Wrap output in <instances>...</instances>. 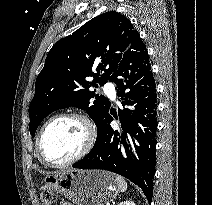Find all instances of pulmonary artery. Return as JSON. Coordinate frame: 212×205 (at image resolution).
I'll return each instance as SVG.
<instances>
[{
  "instance_id": "1",
  "label": "pulmonary artery",
  "mask_w": 212,
  "mask_h": 205,
  "mask_svg": "<svg viewBox=\"0 0 212 205\" xmlns=\"http://www.w3.org/2000/svg\"><path fill=\"white\" fill-rule=\"evenodd\" d=\"M104 92L111 98L115 99L116 97V91L115 87L112 83L108 82L104 85Z\"/></svg>"
}]
</instances>
